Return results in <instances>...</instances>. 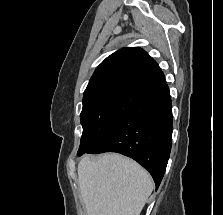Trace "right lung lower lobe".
<instances>
[{"instance_id": "1", "label": "right lung lower lobe", "mask_w": 223, "mask_h": 215, "mask_svg": "<svg viewBox=\"0 0 223 215\" xmlns=\"http://www.w3.org/2000/svg\"><path fill=\"white\" fill-rule=\"evenodd\" d=\"M172 130V104L166 85L132 106L85 153L117 152L128 156L152 175L157 189L170 156Z\"/></svg>"}]
</instances>
